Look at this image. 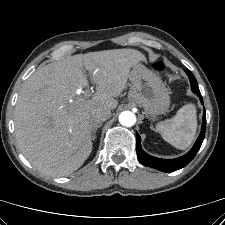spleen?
<instances>
[{"instance_id":"3e777b00","label":"spleen","mask_w":225,"mask_h":225,"mask_svg":"<svg viewBox=\"0 0 225 225\" xmlns=\"http://www.w3.org/2000/svg\"><path fill=\"white\" fill-rule=\"evenodd\" d=\"M197 115L193 104L181 107L171 119L159 122L156 130L163 139L175 148H188L196 134Z\"/></svg>"}]
</instances>
